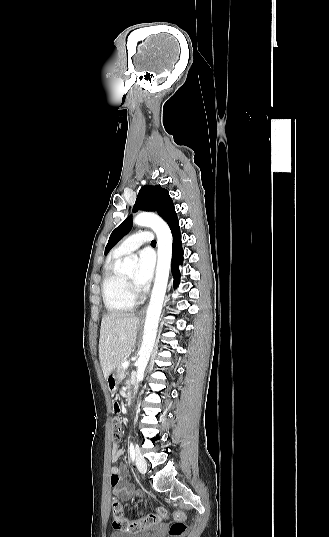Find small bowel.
<instances>
[{
	"label": "small bowel",
	"mask_w": 329,
	"mask_h": 537,
	"mask_svg": "<svg viewBox=\"0 0 329 537\" xmlns=\"http://www.w3.org/2000/svg\"><path fill=\"white\" fill-rule=\"evenodd\" d=\"M113 409L112 412L117 414L124 410L125 405L121 398L116 397L112 401ZM124 450L120 448L116 443L112 445V461L117 462L123 455ZM111 485L113 487V493L122 500H129L135 490L131 484L126 481L127 468L125 466H113L111 468Z\"/></svg>",
	"instance_id": "obj_1"
}]
</instances>
